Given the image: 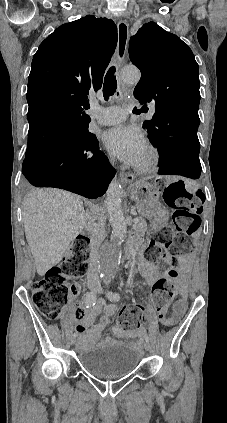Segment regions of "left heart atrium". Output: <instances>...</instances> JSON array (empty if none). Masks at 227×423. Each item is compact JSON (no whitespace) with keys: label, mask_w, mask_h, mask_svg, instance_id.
Returning a JSON list of instances; mask_svg holds the SVG:
<instances>
[{"label":"left heart atrium","mask_w":227,"mask_h":423,"mask_svg":"<svg viewBox=\"0 0 227 423\" xmlns=\"http://www.w3.org/2000/svg\"><path fill=\"white\" fill-rule=\"evenodd\" d=\"M108 151L129 165L140 164L147 149V140L141 130L122 126L113 128L103 135Z\"/></svg>","instance_id":"1"}]
</instances>
